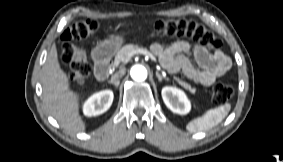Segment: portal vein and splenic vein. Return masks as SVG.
<instances>
[{
	"mask_svg": "<svg viewBox=\"0 0 283 162\" xmlns=\"http://www.w3.org/2000/svg\"><path fill=\"white\" fill-rule=\"evenodd\" d=\"M136 53H141V54H144L148 57L151 58V60H153L154 62H157V59L155 58V56L153 54H151L148 50H141V51H137ZM134 54V53H133ZM133 54H130L128 55L127 59H126V62H128V60L130 59V57L133 55ZM125 62V63H126Z\"/></svg>",
	"mask_w": 283,
	"mask_h": 162,
	"instance_id": "1",
	"label": "portal vein and splenic vein"
}]
</instances>
